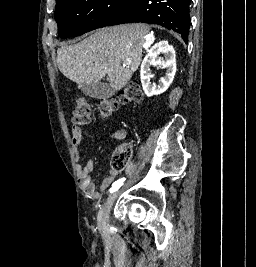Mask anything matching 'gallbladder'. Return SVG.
<instances>
[{"mask_svg":"<svg viewBox=\"0 0 256 267\" xmlns=\"http://www.w3.org/2000/svg\"><path fill=\"white\" fill-rule=\"evenodd\" d=\"M78 90H81L86 96L90 98H97V100H107L114 96L115 90L107 84H102V82H97V84H77Z\"/></svg>","mask_w":256,"mask_h":267,"instance_id":"bac80fb5","label":"gallbladder"}]
</instances>
